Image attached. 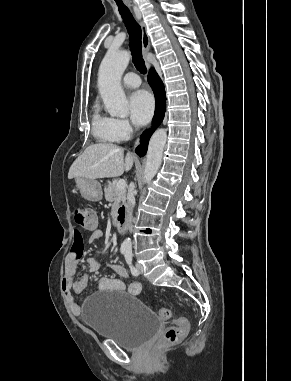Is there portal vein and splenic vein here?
I'll return each mask as SVG.
<instances>
[{
	"instance_id": "18ae733b",
	"label": "portal vein and splenic vein",
	"mask_w": 291,
	"mask_h": 381,
	"mask_svg": "<svg viewBox=\"0 0 291 381\" xmlns=\"http://www.w3.org/2000/svg\"><path fill=\"white\" fill-rule=\"evenodd\" d=\"M116 188L118 190H123L126 188V181L124 179H119L116 183Z\"/></svg>"
}]
</instances>
